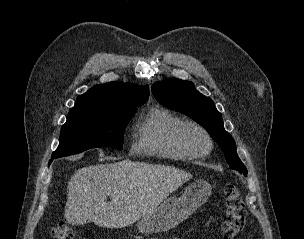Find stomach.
<instances>
[{
  "mask_svg": "<svg viewBox=\"0 0 304 239\" xmlns=\"http://www.w3.org/2000/svg\"><path fill=\"white\" fill-rule=\"evenodd\" d=\"M211 190L207 181H194L180 197L165 199L150 214L142 217L137 223L138 231L142 234H152L173 228L205 203Z\"/></svg>",
  "mask_w": 304,
  "mask_h": 239,
  "instance_id": "obj_1",
  "label": "stomach"
}]
</instances>
